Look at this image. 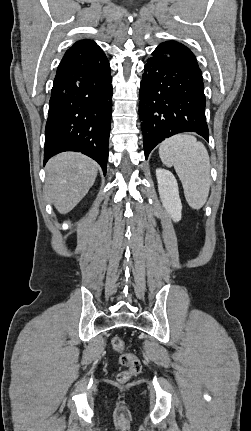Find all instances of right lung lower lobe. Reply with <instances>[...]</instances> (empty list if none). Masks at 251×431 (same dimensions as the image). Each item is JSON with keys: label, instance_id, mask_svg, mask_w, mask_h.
Instances as JSON below:
<instances>
[{"label": "right lung lower lobe", "instance_id": "obj_1", "mask_svg": "<svg viewBox=\"0 0 251 431\" xmlns=\"http://www.w3.org/2000/svg\"><path fill=\"white\" fill-rule=\"evenodd\" d=\"M111 82L109 62L97 44L66 51L51 91L44 164L57 153L77 151L97 161L106 174Z\"/></svg>", "mask_w": 251, "mask_h": 431}]
</instances>
